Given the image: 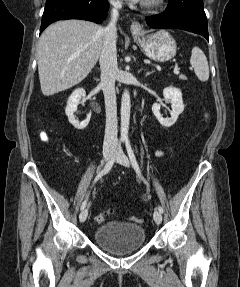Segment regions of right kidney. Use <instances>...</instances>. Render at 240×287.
I'll use <instances>...</instances> for the list:
<instances>
[{
  "mask_svg": "<svg viewBox=\"0 0 240 287\" xmlns=\"http://www.w3.org/2000/svg\"><path fill=\"white\" fill-rule=\"evenodd\" d=\"M86 92L83 88H78L72 92L67 101L65 113L69 122L78 130H82L89 124L91 113H89L85 120L79 122L76 120L74 113L77 110V106L81 103V99L85 98Z\"/></svg>",
  "mask_w": 240,
  "mask_h": 287,
  "instance_id": "right-kidney-1",
  "label": "right kidney"
}]
</instances>
